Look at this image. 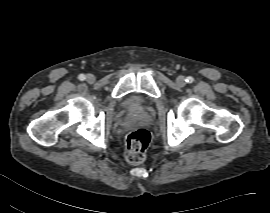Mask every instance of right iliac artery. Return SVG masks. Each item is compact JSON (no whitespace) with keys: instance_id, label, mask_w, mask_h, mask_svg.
Returning <instances> with one entry per match:
<instances>
[{"instance_id":"82829eb1","label":"right iliac artery","mask_w":270,"mask_h":213,"mask_svg":"<svg viewBox=\"0 0 270 213\" xmlns=\"http://www.w3.org/2000/svg\"><path fill=\"white\" fill-rule=\"evenodd\" d=\"M78 79L81 80V81H84L85 80V75L84 74H80L78 76Z\"/></svg>"}]
</instances>
